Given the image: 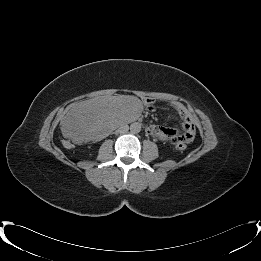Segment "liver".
<instances>
[{
  "label": "liver",
  "mask_w": 261,
  "mask_h": 261,
  "mask_svg": "<svg viewBox=\"0 0 261 261\" xmlns=\"http://www.w3.org/2000/svg\"><path fill=\"white\" fill-rule=\"evenodd\" d=\"M140 108V100L133 96L88 99L72 107L61 122V130L64 137L75 143L97 138L115 128L118 122H133Z\"/></svg>",
  "instance_id": "liver-1"
}]
</instances>
